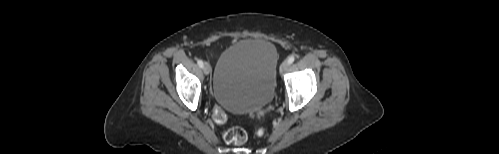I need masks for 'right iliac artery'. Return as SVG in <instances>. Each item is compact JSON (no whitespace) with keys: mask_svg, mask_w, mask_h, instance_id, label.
<instances>
[{"mask_svg":"<svg viewBox=\"0 0 499 154\" xmlns=\"http://www.w3.org/2000/svg\"><path fill=\"white\" fill-rule=\"evenodd\" d=\"M197 63L199 65V67L203 68L204 63L201 59H198Z\"/></svg>","mask_w":499,"mask_h":154,"instance_id":"obj_1","label":"right iliac artery"}]
</instances>
